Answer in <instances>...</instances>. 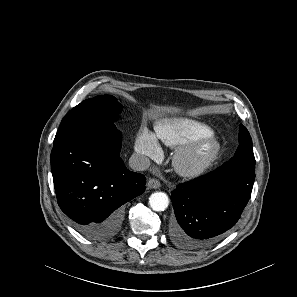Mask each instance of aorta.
Returning a JSON list of instances; mask_svg holds the SVG:
<instances>
[{"instance_id":"aorta-1","label":"aorta","mask_w":297,"mask_h":297,"mask_svg":"<svg viewBox=\"0 0 297 297\" xmlns=\"http://www.w3.org/2000/svg\"><path fill=\"white\" fill-rule=\"evenodd\" d=\"M149 204L154 211H164L169 205V198L164 192H155L149 197Z\"/></svg>"}]
</instances>
